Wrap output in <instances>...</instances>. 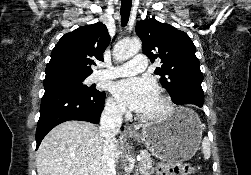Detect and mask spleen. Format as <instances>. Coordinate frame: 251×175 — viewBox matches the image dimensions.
<instances>
[{
  "label": "spleen",
  "instance_id": "spleen-1",
  "mask_svg": "<svg viewBox=\"0 0 251 175\" xmlns=\"http://www.w3.org/2000/svg\"><path fill=\"white\" fill-rule=\"evenodd\" d=\"M202 147H203V153L205 159H209L211 155V147H210V141L208 137H203L202 139Z\"/></svg>",
  "mask_w": 251,
  "mask_h": 175
}]
</instances>
